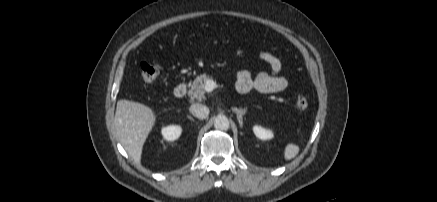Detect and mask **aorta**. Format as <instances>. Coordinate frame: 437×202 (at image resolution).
<instances>
[{"instance_id":"1","label":"aorta","mask_w":437,"mask_h":202,"mask_svg":"<svg viewBox=\"0 0 437 202\" xmlns=\"http://www.w3.org/2000/svg\"><path fill=\"white\" fill-rule=\"evenodd\" d=\"M214 127L217 130L226 131L229 129V120L225 115H218L214 120Z\"/></svg>"}]
</instances>
